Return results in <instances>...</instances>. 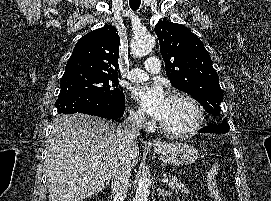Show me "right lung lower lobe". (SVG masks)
Returning <instances> with one entry per match:
<instances>
[{
  "mask_svg": "<svg viewBox=\"0 0 271 201\" xmlns=\"http://www.w3.org/2000/svg\"><path fill=\"white\" fill-rule=\"evenodd\" d=\"M55 107L58 109V114L85 113L117 120L124 114L125 98L123 94L111 98L66 94L59 95Z\"/></svg>",
  "mask_w": 271,
  "mask_h": 201,
  "instance_id": "98d812e1",
  "label": "right lung lower lobe"
}]
</instances>
